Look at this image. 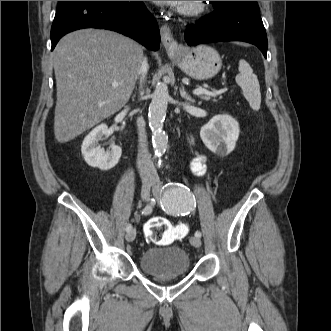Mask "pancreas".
<instances>
[{"label":"pancreas","mask_w":331,"mask_h":331,"mask_svg":"<svg viewBox=\"0 0 331 331\" xmlns=\"http://www.w3.org/2000/svg\"><path fill=\"white\" fill-rule=\"evenodd\" d=\"M201 99L203 100H210L211 99V95H208V94H203L202 96H200ZM213 101H216L215 99Z\"/></svg>","instance_id":"obj_1"}]
</instances>
